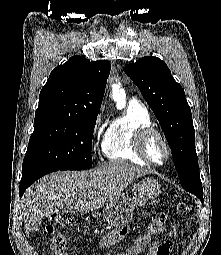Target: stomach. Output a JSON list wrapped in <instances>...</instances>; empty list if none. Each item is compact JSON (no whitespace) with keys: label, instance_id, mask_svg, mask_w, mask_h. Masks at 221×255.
I'll return each mask as SVG.
<instances>
[{"label":"stomach","instance_id":"stomach-1","mask_svg":"<svg viewBox=\"0 0 221 255\" xmlns=\"http://www.w3.org/2000/svg\"><path fill=\"white\" fill-rule=\"evenodd\" d=\"M160 193L161 187L157 180L144 178L133 188L131 196L121 193L108 202L103 209V216L112 226H125L132 220L135 206H144Z\"/></svg>","mask_w":221,"mask_h":255}]
</instances>
